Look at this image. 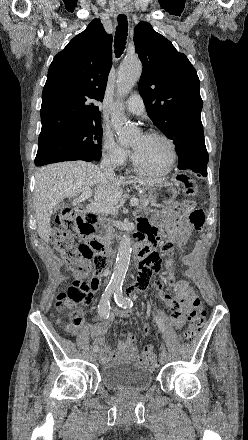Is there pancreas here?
I'll return each instance as SVG.
<instances>
[{"mask_svg":"<svg viewBox=\"0 0 248 440\" xmlns=\"http://www.w3.org/2000/svg\"><path fill=\"white\" fill-rule=\"evenodd\" d=\"M139 203V211H143L145 214H148L150 211L148 208V198L145 196H140Z\"/></svg>","mask_w":248,"mask_h":440,"instance_id":"1","label":"pancreas"}]
</instances>
